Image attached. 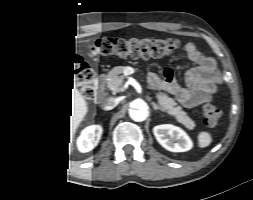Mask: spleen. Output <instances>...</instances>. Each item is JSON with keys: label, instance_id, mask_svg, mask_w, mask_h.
I'll return each instance as SVG.
<instances>
[{"label": "spleen", "instance_id": "obj_1", "mask_svg": "<svg viewBox=\"0 0 253 200\" xmlns=\"http://www.w3.org/2000/svg\"><path fill=\"white\" fill-rule=\"evenodd\" d=\"M212 142V137L208 132H200L198 134V144L199 147L201 148H205L207 146H209Z\"/></svg>", "mask_w": 253, "mask_h": 200}]
</instances>
